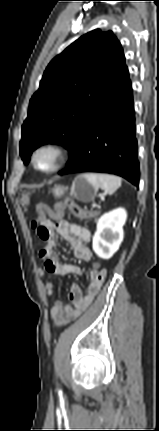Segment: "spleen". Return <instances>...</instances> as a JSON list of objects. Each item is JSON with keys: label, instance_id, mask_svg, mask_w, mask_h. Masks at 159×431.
I'll use <instances>...</instances> for the list:
<instances>
[{"label": "spleen", "instance_id": "3e777b00", "mask_svg": "<svg viewBox=\"0 0 159 431\" xmlns=\"http://www.w3.org/2000/svg\"><path fill=\"white\" fill-rule=\"evenodd\" d=\"M85 179L96 188H101L108 194H113L122 184V179L115 175L88 173Z\"/></svg>", "mask_w": 159, "mask_h": 431}]
</instances>
